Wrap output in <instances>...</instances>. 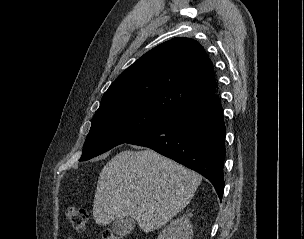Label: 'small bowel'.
Masks as SVG:
<instances>
[{
	"instance_id": "1",
	"label": "small bowel",
	"mask_w": 304,
	"mask_h": 239,
	"mask_svg": "<svg viewBox=\"0 0 304 239\" xmlns=\"http://www.w3.org/2000/svg\"><path fill=\"white\" fill-rule=\"evenodd\" d=\"M64 239H74L71 236H66Z\"/></svg>"
}]
</instances>
